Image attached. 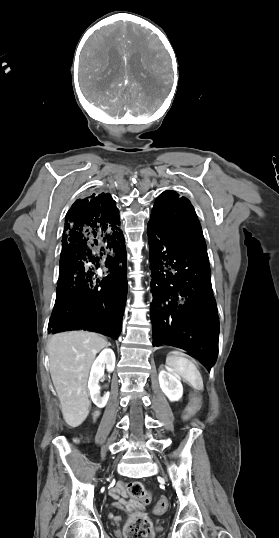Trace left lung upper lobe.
I'll return each mask as SVG.
<instances>
[{"mask_svg":"<svg viewBox=\"0 0 279 538\" xmlns=\"http://www.w3.org/2000/svg\"><path fill=\"white\" fill-rule=\"evenodd\" d=\"M147 227L160 232L204 239L200 222L190 201L171 190L158 196Z\"/></svg>","mask_w":279,"mask_h":538,"instance_id":"1","label":"left lung upper lobe"}]
</instances>
